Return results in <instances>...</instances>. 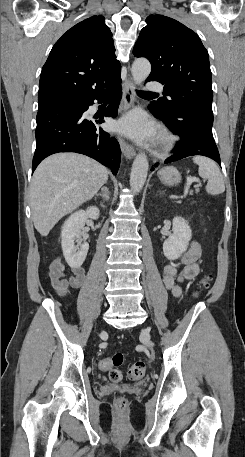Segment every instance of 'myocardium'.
<instances>
[{"label": "myocardium", "mask_w": 245, "mask_h": 457, "mask_svg": "<svg viewBox=\"0 0 245 457\" xmlns=\"http://www.w3.org/2000/svg\"><path fill=\"white\" fill-rule=\"evenodd\" d=\"M175 138L168 132H163L159 138L158 145L161 152H168L175 144Z\"/></svg>", "instance_id": "f54148a6"}]
</instances>
